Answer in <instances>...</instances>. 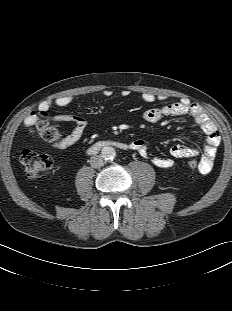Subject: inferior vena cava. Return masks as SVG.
Here are the masks:
<instances>
[{"label": "inferior vena cava", "instance_id": "obj_1", "mask_svg": "<svg viewBox=\"0 0 232 311\" xmlns=\"http://www.w3.org/2000/svg\"><path fill=\"white\" fill-rule=\"evenodd\" d=\"M103 164V158L99 155L92 156L90 159V165L93 168H100Z\"/></svg>", "mask_w": 232, "mask_h": 311}]
</instances>
